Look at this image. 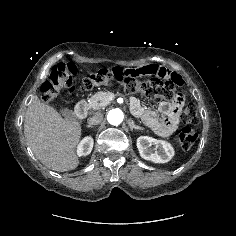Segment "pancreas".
Returning <instances> with one entry per match:
<instances>
[{
	"mask_svg": "<svg viewBox=\"0 0 236 236\" xmlns=\"http://www.w3.org/2000/svg\"><path fill=\"white\" fill-rule=\"evenodd\" d=\"M112 95L109 91H100L95 93L88 103V107L93 110L103 109L109 102V97Z\"/></svg>",
	"mask_w": 236,
	"mask_h": 236,
	"instance_id": "obj_1",
	"label": "pancreas"
}]
</instances>
